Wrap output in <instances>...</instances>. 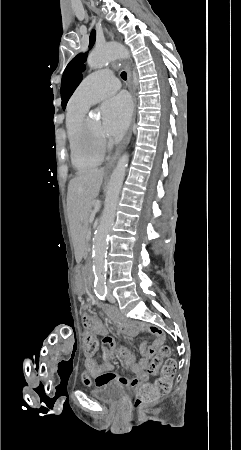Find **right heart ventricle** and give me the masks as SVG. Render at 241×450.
Segmentation results:
<instances>
[{"mask_svg":"<svg viewBox=\"0 0 241 450\" xmlns=\"http://www.w3.org/2000/svg\"><path fill=\"white\" fill-rule=\"evenodd\" d=\"M88 105L82 102L71 101L66 116V128H67V136L70 143L71 150V160L73 165L77 169H85L89 167H93L98 165L102 157H95V153H93V157H87V153H77L76 149L79 148V143L74 141L76 136H79L76 133V126L85 118V113L87 111ZM88 123V119L86 125Z\"/></svg>","mask_w":241,"mask_h":450,"instance_id":"right-heart-ventricle-1","label":"right heart ventricle"}]
</instances>
